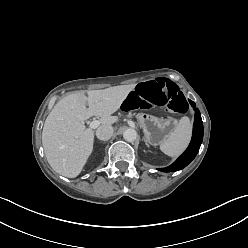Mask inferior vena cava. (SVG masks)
<instances>
[{
    "label": "inferior vena cava",
    "mask_w": 248,
    "mask_h": 248,
    "mask_svg": "<svg viewBox=\"0 0 248 248\" xmlns=\"http://www.w3.org/2000/svg\"><path fill=\"white\" fill-rule=\"evenodd\" d=\"M113 127L111 125H102L96 131V136L99 140H109L113 135Z\"/></svg>",
    "instance_id": "602c4592"
}]
</instances>
